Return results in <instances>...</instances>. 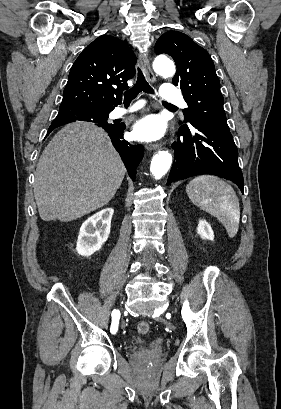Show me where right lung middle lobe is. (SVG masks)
<instances>
[{
	"label": "right lung middle lobe",
	"instance_id": "1",
	"mask_svg": "<svg viewBox=\"0 0 281 409\" xmlns=\"http://www.w3.org/2000/svg\"><path fill=\"white\" fill-rule=\"evenodd\" d=\"M105 117H107V115ZM77 120H80V121L84 120V121H89V122H94V123L96 122V120H91L89 118H66V117H58L57 116L54 119V121L52 122L49 130H53L54 128H56L58 126L65 125L67 123L74 122V121H77Z\"/></svg>",
	"mask_w": 281,
	"mask_h": 409
}]
</instances>
